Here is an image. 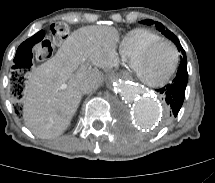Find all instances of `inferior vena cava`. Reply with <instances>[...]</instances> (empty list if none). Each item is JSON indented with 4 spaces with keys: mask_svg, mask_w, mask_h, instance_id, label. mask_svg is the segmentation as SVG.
<instances>
[{
    "mask_svg": "<svg viewBox=\"0 0 215 183\" xmlns=\"http://www.w3.org/2000/svg\"><path fill=\"white\" fill-rule=\"evenodd\" d=\"M101 82L99 81H84L81 83L79 89L83 94H88L95 91Z\"/></svg>",
    "mask_w": 215,
    "mask_h": 183,
    "instance_id": "obj_1",
    "label": "inferior vena cava"
}]
</instances>
